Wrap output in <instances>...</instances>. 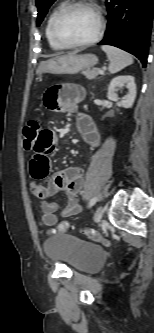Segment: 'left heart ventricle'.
<instances>
[{
	"mask_svg": "<svg viewBox=\"0 0 154 333\" xmlns=\"http://www.w3.org/2000/svg\"><path fill=\"white\" fill-rule=\"evenodd\" d=\"M97 15L91 8L77 7L68 11L61 19L58 31L68 42H81L96 33Z\"/></svg>",
	"mask_w": 154,
	"mask_h": 333,
	"instance_id": "obj_1",
	"label": "left heart ventricle"
}]
</instances>
